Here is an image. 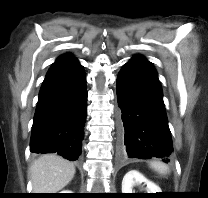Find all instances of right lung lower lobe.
I'll list each match as a JSON object with an SVG mask.
<instances>
[{"label": "right lung lower lobe", "mask_w": 208, "mask_h": 198, "mask_svg": "<svg viewBox=\"0 0 208 198\" xmlns=\"http://www.w3.org/2000/svg\"><path fill=\"white\" fill-rule=\"evenodd\" d=\"M86 112V76L78 60L47 74L34 115L30 151L56 152L77 160L82 152Z\"/></svg>", "instance_id": "obj_1"}]
</instances>
